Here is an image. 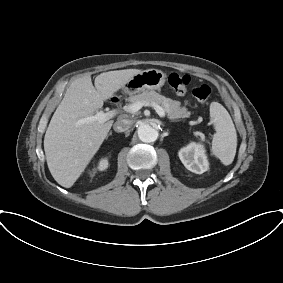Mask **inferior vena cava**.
Returning <instances> with one entry per match:
<instances>
[{
    "instance_id": "obj_1",
    "label": "inferior vena cava",
    "mask_w": 283,
    "mask_h": 283,
    "mask_svg": "<svg viewBox=\"0 0 283 283\" xmlns=\"http://www.w3.org/2000/svg\"><path fill=\"white\" fill-rule=\"evenodd\" d=\"M132 126V121L129 119H118L114 125H113V129L115 132H124L127 131L131 128Z\"/></svg>"
}]
</instances>
